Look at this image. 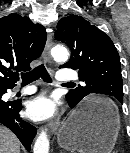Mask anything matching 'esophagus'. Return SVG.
Returning <instances> with one entry per match:
<instances>
[{
	"mask_svg": "<svg viewBox=\"0 0 130 153\" xmlns=\"http://www.w3.org/2000/svg\"><path fill=\"white\" fill-rule=\"evenodd\" d=\"M52 44H53L52 35L48 34L46 45L43 52V57L46 62H49L51 60L50 50L52 48ZM59 125H60V121L59 119H57L55 121L50 122L48 124V128L52 133H54L58 129Z\"/></svg>",
	"mask_w": 130,
	"mask_h": 153,
	"instance_id": "1",
	"label": "esophagus"
}]
</instances>
